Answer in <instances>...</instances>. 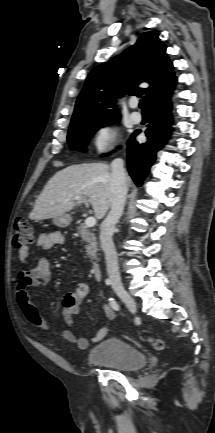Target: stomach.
<instances>
[{"label":"stomach","instance_id":"obj_1","mask_svg":"<svg viewBox=\"0 0 215 433\" xmlns=\"http://www.w3.org/2000/svg\"><path fill=\"white\" fill-rule=\"evenodd\" d=\"M71 221H72V217L66 213L53 218L54 224L59 227H67L70 225Z\"/></svg>","mask_w":215,"mask_h":433}]
</instances>
